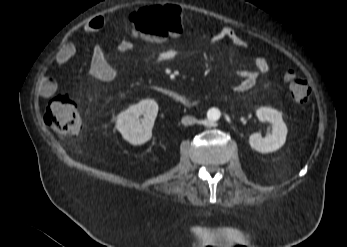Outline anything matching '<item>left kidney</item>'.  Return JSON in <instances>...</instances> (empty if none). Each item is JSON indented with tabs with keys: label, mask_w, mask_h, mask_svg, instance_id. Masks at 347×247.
Returning a JSON list of instances; mask_svg holds the SVG:
<instances>
[{
	"label": "left kidney",
	"mask_w": 347,
	"mask_h": 247,
	"mask_svg": "<svg viewBox=\"0 0 347 247\" xmlns=\"http://www.w3.org/2000/svg\"><path fill=\"white\" fill-rule=\"evenodd\" d=\"M257 118L261 122L272 124V134L262 138L260 133H253L249 137L251 148L261 153H269L283 146L287 136V126L282 119V114L273 108L261 107L256 111Z\"/></svg>",
	"instance_id": "5707ae66"
}]
</instances>
